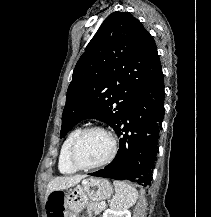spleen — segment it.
Returning <instances> with one entry per match:
<instances>
[{"label":"spleen","instance_id":"obj_1","mask_svg":"<svg viewBox=\"0 0 211 217\" xmlns=\"http://www.w3.org/2000/svg\"><path fill=\"white\" fill-rule=\"evenodd\" d=\"M115 195L110 203V207L114 210H124L136 203L138 199L137 190L131 185L115 180Z\"/></svg>","mask_w":211,"mask_h":217}]
</instances>
